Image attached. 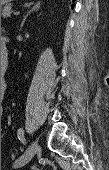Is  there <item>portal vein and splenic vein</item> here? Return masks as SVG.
Wrapping results in <instances>:
<instances>
[{"instance_id": "1", "label": "portal vein and splenic vein", "mask_w": 109, "mask_h": 170, "mask_svg": "<svg viewBox=\"0 0 109 170\" xmlns=\"http://www.w3.org/2000/svg\"><path fill=\"white\" fill-rule=\"evenodd\" d=\"M18 14H19V11L14 12V15H18Z\"/></svg>"}]
</instances>
